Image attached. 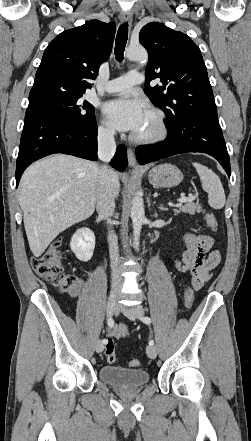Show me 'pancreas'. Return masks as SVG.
Instances as JSON below:
<instances>
[{
    "label": "pancreas",
    "instance_id": "cf45deb5",
    "mask_svg": "<svg viewBox=\"0 0 251 441\" xmlns=\"http://www.w3.org/2000/svg\"><path fill=\"white\" fill-rule=\"evenodd\" d=\"M202 207L199 205V203H194L192 201L187 202L183 206H180L179 209H174L175 213L185 212L190 215H194L195 212H201Z\"/></svg>",
    "mask_w": 251,
    "mask_h": 441
}]
</instances>
